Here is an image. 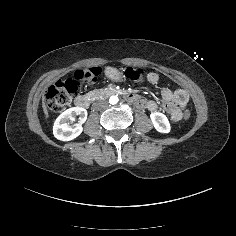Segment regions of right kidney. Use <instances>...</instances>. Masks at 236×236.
Returning <instances> with one entry per match:
<instances>
[{
    "label": "right kidney",
    "instance_id": "1",
    "mask_svg": "<svg viewBox=\"0 0 236 236\" xmlns=\"http://www.w3.org/2000/svg\"><path fill=\"white\" fill-rule=\"evenodd\" d=\"M79 116V122L71 125L76 117ZM87 119V110L81 107H72L64 111L55 120L53 134L55 138L62 141H69L81 134L82 124Z\"/></svg>",
    "mask_w": 236,
    "mask_h": 236
}]
</instances>
